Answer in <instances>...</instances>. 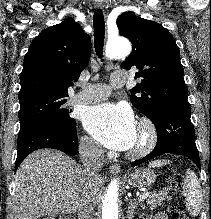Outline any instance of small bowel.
<instances>
[{
  "label": "small bowel",
  "instance_id": "c3829d8e",
  "mask_svg": "<svg viewBox=\"0 0 211 219\" xmlns=\"http://www.w3.org/2000/svg\"><path fill=\"white\" fill-rule=\"evenodd\" d=\"M145 219H167L166 215L164 213H157L155 215H151L146 217Z\"/></svg>",
  "mask_w": 211,
  "mask_h": 219
}]
</instances>
